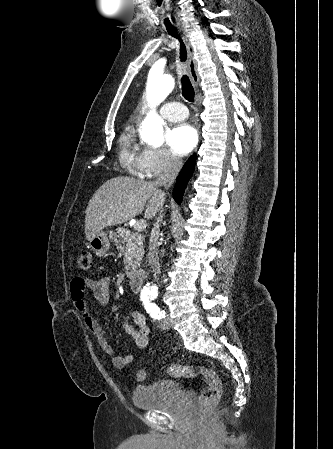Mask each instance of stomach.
<instances>
[{"mask_svg": "<svg viewBox=\"0 0 333 449\" xmlns=\"http://www.w3.org/2000/svg\"><path fill=\"white\" fill-rule=\"evenodd\" d=\"M92 250L98 255L103 256L109 250L110 242L107 237V233L100 231L90 241Z\"/></svg>", "mask_w": 333, "mask_h": 449, "instance_id": "stomach-1", "label": "stomach"}]
</instances>
